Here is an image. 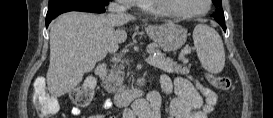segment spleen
I'll use <instances>...</instances> for the list:
<instances>
[{
  "instance_id": "spleen-1",
  "label": "spleen",
  "mask_w": 273,
  "mask_h": 118,
  "mask_svg": "<svg viewBox=\"0 0 273 118\" xmlns=\"http://www.w3.org/2000/svg\"><path fill=\"white\" fill-rule=\"evenodd\" d=\"M193 40L202 67L210 73H220L225 66V50L217 31L198 24L193 31Z\"/></svg>"
}]
</instances>
